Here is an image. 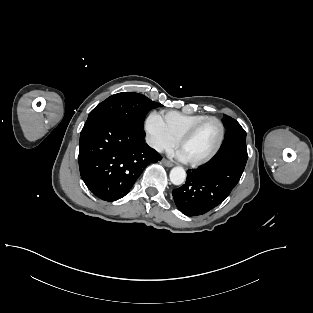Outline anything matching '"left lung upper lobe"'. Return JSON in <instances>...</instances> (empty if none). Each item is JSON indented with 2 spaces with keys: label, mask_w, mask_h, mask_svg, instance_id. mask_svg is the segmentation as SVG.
Here are the masks:
<instances>
[{
  "label": "left lung upper lobe",
  "mask_w": 313,
  "mask_h": 313,
  "mask_svg": "<svg viewBox=\"0 0 313 313\" xmlns=\"http://www.w3.org/2000/svg\"><path fill=\"white\" fill-rule=\"evenodd\" d=\"M222 121L226 128V133L221 147L237 141L246 142V132L236 120L225 115Z\"/></svg>",
  "instance_id": "left-lung-upper-lobe-1"
}]
</instances>
